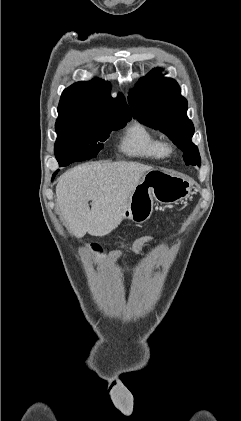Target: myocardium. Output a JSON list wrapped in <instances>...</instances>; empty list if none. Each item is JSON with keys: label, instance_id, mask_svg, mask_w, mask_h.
I'll list each match as a JSON object with an SVG mask.
<instances>
[{"label": "myocardium", "instance_id": "myocardium-1", "mask_svg": "<svg viewBox=\"0 0 241 421\" xmlns=\"http://www.w3.org/2000/svg\"><path fill=\"white\" fill-rule=\"evenodd\" d=\"M165 153L166 155L172 154L174 152V145L172 143H165Z\"/></svg>", "mask_w": 241, "mask_h": 421}]
</instances>
